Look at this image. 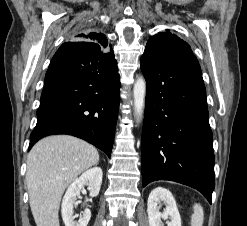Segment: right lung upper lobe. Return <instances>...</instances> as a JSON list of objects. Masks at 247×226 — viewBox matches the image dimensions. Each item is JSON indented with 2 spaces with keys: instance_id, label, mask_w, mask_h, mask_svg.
<instances>
[{
  "instance_id": "cb5924a9",
  "label": "right lung upper lobe",
  "mask_w": 247,
  "mask_h": 226,
  "mask_svg": "<svg viewBox=\"0 0 247 226\" xmlns=\"http://www.w3.org/2000/svg\"><path fill=\"white\" fill-rule=\"evenodd\" d=\"M75 38L78 41L97 44L104 48L108 47V40L106 36L98 31H91V32L84 31L77 34Z\"/></svg>"
}]
</instances>
